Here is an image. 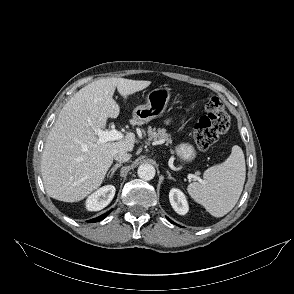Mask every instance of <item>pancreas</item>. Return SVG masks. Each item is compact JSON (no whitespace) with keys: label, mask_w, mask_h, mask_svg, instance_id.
Listing matches in <instances>:
<instances>
[{"label":"pancreas","mask_w":294,"mask_h":294,"mask_svg":"<svg viewBox=\"0 0 294 294\" xmlns=\"http://www.w3.org/2000/svg\"><path fill=\"white\" fill-rule=\"evenodd\" d=\"M147 133L149 136L148 140L150 141L154 140L155 142H161V143L166 142L167 145L172 143V139L170 135L166 133V130L164 128L156 130L155 128H152L151 126H149Z\"/></svg>","instance_id":"1"}]
</instances>
